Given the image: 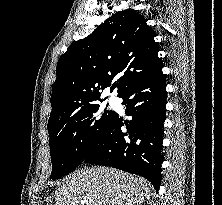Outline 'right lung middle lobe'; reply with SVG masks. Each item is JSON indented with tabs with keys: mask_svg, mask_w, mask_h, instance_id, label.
Segmentation results:
<instances>
[{
	"mask_svg": "<svg viewBox=\"0 0 222 205\" xmlns=\"http://www.w3.org/2000/svg\"><path fill=\"white\" fill-rule=\"evenodd\" d=\"M115 116L114 111L94 104L48 124L53 166L51 179H59L81 164L95 140L112 123Z\"/></svg>",
	"mask_w": 222,
	"mask_h": 205,
	"instance_id": "obj_1",
	"label": "right lung middle lobe"
}]
</instances>
